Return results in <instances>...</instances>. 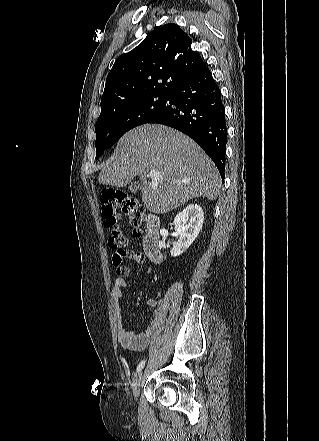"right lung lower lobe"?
Instances as JSON below:
<instances>
[{"mask_svg": "<svg viewBox=\"0 0 319 441\" xmlns=\"http://www.w3.org/2000/svg\"><path fill=\"white\" fill-rule=\"evenodd\" d=\"M169 105L148 123L175 128L191 137L224 178L227 126L221 93L209 68L184 79L168 96Z\"/></svg>", "mask_w": 319, "mask_h": 441, "instance_id": "1", "label": "right lung lower lobe"}]
</instances>
